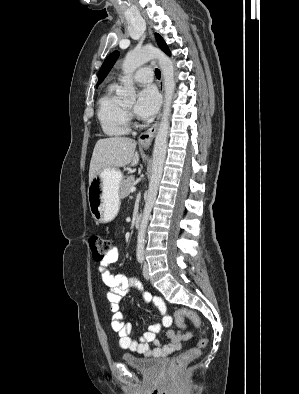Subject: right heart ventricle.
<instances>
[{"label": "right heart ventricle", "instance_id": "obj_1", "mask_svg": "<svg viewBox=\"0 0 299 394\" xmlns=\"http://www.w3.org/2000/svg\"><path fill=\"white\" fill-rule=\"evenodd\" d=\"M117 89V84L108 86L99 99L97 110L103 132L111 137L126 135L130 130L127 111L116 93Z\"/></svg>", "mask_w": 299, "mask_h": 394}]
</instances>
